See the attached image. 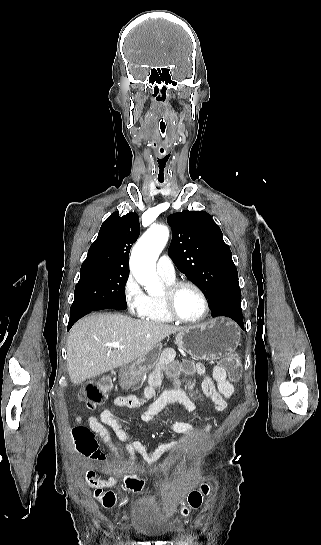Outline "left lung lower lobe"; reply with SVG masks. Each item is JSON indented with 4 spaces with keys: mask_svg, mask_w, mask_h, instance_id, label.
Wrapping results in <instances>:
<instances>
[{
    "mask_svg": "<svg viewBox=\"0 0 321 545\" xmlns=\"http://www.w3.org/2000/svg\"><path fill=\"white\" fill-rule=\"evenodd\" d=\"M212 316H227L232 318L238 325L244 329L242 310H241V292L225 296L219 302L210 306Z\"/></svg>",
    "mask_w": 321,
    "mask_h": 545,
    "instance_id": "left-lung-lower-lobe-1",
    "label": "left lung lower lobe"
}]
</instances>
